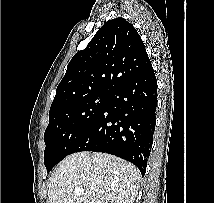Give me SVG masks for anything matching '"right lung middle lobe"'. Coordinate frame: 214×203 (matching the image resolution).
<instances>
[{
  "mask_svg": "<svg viewBox=\"0 0 214 203\" xmlns=\"http://www.w3.org/2000/svg\"><path fill=\"white\" fill-rule=\"evenodd\" d=\"M108 93H94L70 101L49 112L44 133V164L47 172L70 154L91 128L108 101Z\"/></svg>",
  "mask_w": 214,
  "mask_h": 203,
  "instance_id": "right-lung-middle-lobe-1",
  "label": "right lung middle lobe"
}]
</instances>
